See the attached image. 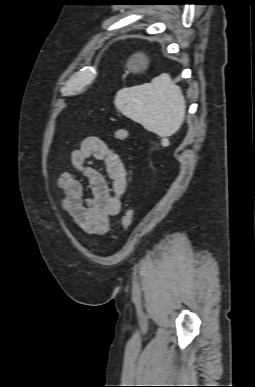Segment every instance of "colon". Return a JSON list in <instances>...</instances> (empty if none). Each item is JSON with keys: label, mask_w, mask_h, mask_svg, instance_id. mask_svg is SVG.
I'll return each instance as SVG.
<instances>
[{"label": "colon", "mask_w": 255, "mask_h": 387, "mask_svg": "<svg viewBox=\"0 0 255 387\" xmlns=\"http://www.w3.org/2000/svg\"><path fill=\"white\" fill-rule=\"evenodd\" d=\"M115 137L120 141H128L130 138L129 130L125 127H118L115 130ZM134 219V211L132 208H128L122 217V227L128 228L131 226Z\"/></svg>", "instance_id": "1"}]
</instances>
